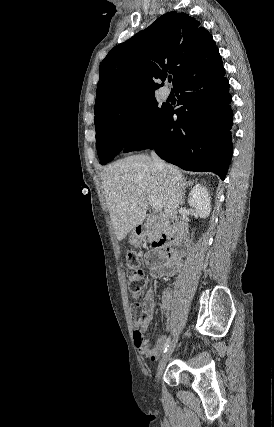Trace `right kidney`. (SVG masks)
I'll list each match as a JSON object with an SVG mask.
<instances>
[{"label":"right kidney","mask_w":274,"mask_h":427,"mask_svg":"<svg viewBox=\"0 0 274 427\" xmlns=\"http://www.w3.org/2000/svg\"><path fill=\"white\" fill-rule=\"evenodd\" d=\"M188 204L191 208H194L196 214L200 215V217H208L211 212V200L207 188L200 186V184L194 186L191 194H189Z\"/></svg>","instance_id":"ca27d5eb"}]
</instances>
